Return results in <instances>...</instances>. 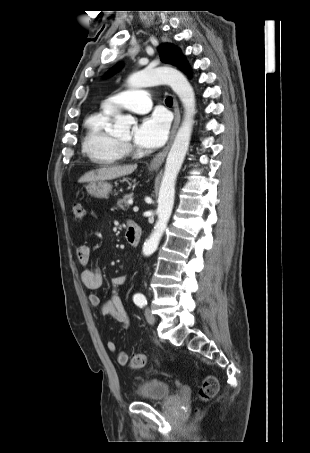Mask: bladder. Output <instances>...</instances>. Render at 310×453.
Masks as SVG:
<instances>
[{
	"instance_id": "obj_1",
	"label": "bladder",
	"mask_w": 310,
	"mask_h": 453,
	"mask_svg": "<svg viewBox=\"0 0 310 453\" xmlns=\"http://www.w3.org/2000/svg\"><path fill=\"white\" fill-rule=\"evenodd\" d=\"M135 395L142 401H161L172 396V388L167 382L152 378L141 381L136 387Z\"/></svg>"
}]
</instances>
